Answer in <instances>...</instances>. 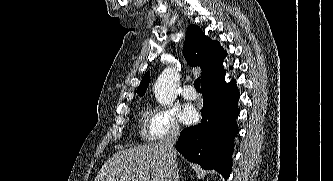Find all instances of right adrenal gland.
Masks as SVG:
<instances>
[{
	"label": "right adrenal gland",
	"instance_id": "2a0ac1e0",
	"mask_svg": "<svg viewBox=\"0 0 333 181\" xmlns=\"http://www.w3.org/2000/svg\"><path fill=\"white\" fill-rule=\"evenodd\" d=\"M178 180H179V170H177L176 177H175L174 181H178Z\"/></svg>",
	"mask_w": 333,
	"mask_h": 181
}]
</instances>
